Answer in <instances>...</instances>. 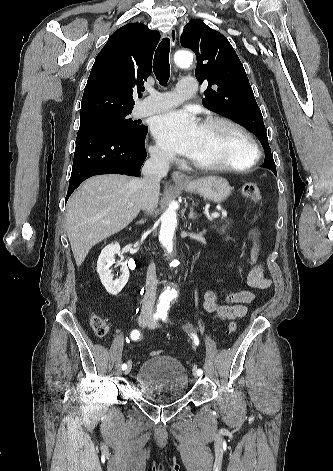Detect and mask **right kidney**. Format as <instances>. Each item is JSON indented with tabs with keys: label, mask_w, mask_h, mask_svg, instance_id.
Here are the masks:
<instances>
[{
	"label": "right kidney",
	"mask_w": 333,
	"mask_h": 471,
	"mask_svg": "<svg viewBox=\"0 0 333 471\" xmlns=\"http://www.w3.org/2000/svg\"><path fill=\"white\" fill-rule=\"evenodd\" d=\"M116 254H120V245L118 243L109 244L103 248L97 261V272L100 281L111 295L119 294L129 279L128 267L124 265L121 269L122 274L119 279L113 280L110 266L113 264Z\"/></svg>",
	"instance_id": "obj_1"
}]
</instances>
